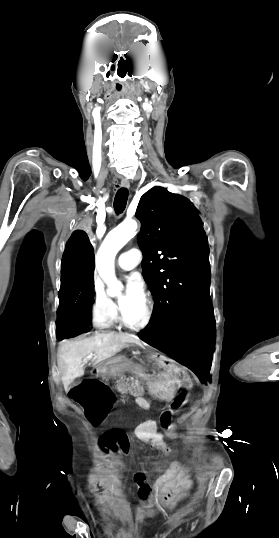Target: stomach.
<instances>
[{
	"mask_svg": "<svg viewBox=\"0 0 279 538\" xmlns=\"http://www.w3.org/2000/svg\"><path fill=\"white\" fill-rule=\"evenodd\" d=\"M155 361L156 362H161L162 361V356L161 355H156L155 356ZM167 375L172 376L173 378H181L182 376L185 375V370L182 369L180 365H174L172 369L167 370ZM164 386H165V381L163 379H158L156 381L155 386L151 385L149 387L150 393L152 395H158V397H162V394H160V393H161ZM173 389H175V386H172V388H166L165 389V398L166 399H171L173 397ZM186 389H189V386H186Z\"/></svg>",
	"mask_w": 279,
	"mask_h": 538,
	"instance_id": "1",
	"label": "stomach"
}]
</instances>
